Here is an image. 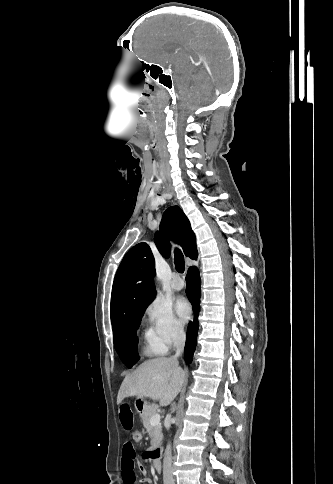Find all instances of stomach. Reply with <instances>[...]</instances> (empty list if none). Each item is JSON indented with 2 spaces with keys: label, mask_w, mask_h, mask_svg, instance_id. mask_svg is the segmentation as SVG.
<instances>
[{
  "label": "stomach",
  "mask_w": 333,
  "mask_h": 484,
  "mask_svg": "<svg viewBox=\"0 0 333 484\" xmlns=\"http://www.w3.org/2000/svg\"><path fill=\"white\" fill-rule=\"evenodd\" d=\"M148 406L149 404L145 399L138 398L135 401L136 410L140 415H142L147 410Z\"/></svg>",
  "instance_id": "stomach-1"
}]
</instances>
